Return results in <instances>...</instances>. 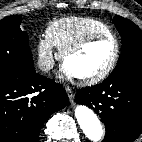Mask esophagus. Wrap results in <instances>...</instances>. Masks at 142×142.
<instances>
[{
  "instance_id": "esophagus-1",
  "label": "esophagus",
  "mask_w": 142,
  "mask_h": 142,
  "mask_svg": "<svg viewBox=\"0 0 142 142\" xmlns=\"http://www.w3.org/2000/svg\"><path fill=\"white\" fill-rule=\"evenodd\" d=\"M65 90H66V93L69 97L70 102H73L74 101V92L69 87H67Z\"/></svg>"
}]
</instances>
